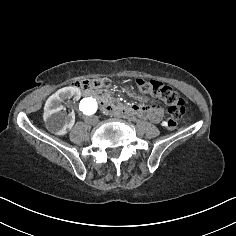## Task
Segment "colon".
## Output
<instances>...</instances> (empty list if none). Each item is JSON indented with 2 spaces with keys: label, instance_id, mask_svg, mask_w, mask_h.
I'll use <instances>...</instances> for the list:
<instances>
[{
  "label": "colon",
  "instance_id": "1",
  "mask_svg": "<svg viewBox=\"0 0 236 236\" xmlns=\"http://www.w3.org/2000/svg\"><path fill=\"white\" fill-rule=\"evenodd\" d=\"M110 84L105 77H92L74 82V85L81 90L99 89ZM136 85L140 91L160 97L168 106L169 118L164 126L169 130L177 127L178 120L185 113V101L171 87L155 80L137 79Z\"/></svg>",
  "mask_w": 236,
  "mask_h": 236
}]
</instances>
